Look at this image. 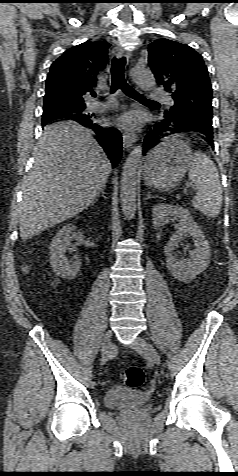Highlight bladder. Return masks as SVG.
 Returning a JSON list of instances; mask_svg holds the SVG:
<instances>
[{"label":"bladder","instance_id":"bladder-1","mask_svg":"<svg viewBox=\"0 0 238 476\" xmlns=\"http://www.w3.org/2000/svg\"><path fill=\"white\" fill-rule=\"evenodd\" d=\"M152 394L146 390L126 386H112L104 395L105 406L109 409H133L148 404Z\"/></svg>","mask_w":238,"mask_h":476}]
</instances>
